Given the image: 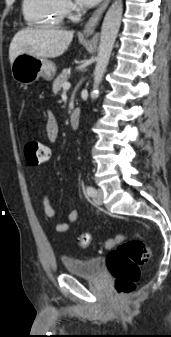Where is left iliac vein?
<instances>
[{"label":"left iliac vein","instance_id":"obj_1","mask_svg":"<svg viewBox=\"0 0 171 337\" xmlns=\"http://www.w3.org/2000/svg\"><path fill=\"white\" fill-rule=\"evenodd\" d=\"M94 202L97 205H101L103 203V191L101 189H98L96 191V195L94 197Z\"/></svg>","mask_w":171,"mask_h":337}]
</instances>
